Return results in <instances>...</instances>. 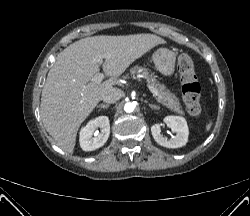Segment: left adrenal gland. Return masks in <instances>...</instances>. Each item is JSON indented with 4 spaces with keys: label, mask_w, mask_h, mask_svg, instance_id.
Instances as JSON below:
<instances>
[{
    "label": "left adrenal gland",
    "mask_w": 250,
    "mask_h": 216,
    "mask_svg": "<svg viewBox=\"0 0 250 216\" xmlns=\"http://www.w3.org/2000/svg\"><path fill=\"white\" fill-rule=\"evenodd\" d=\"M149 107H150V108H153V109H159V106L153 105V104H149Z\"/></svg>",
    "instance_id": "obj_1"
}]
</instances>
